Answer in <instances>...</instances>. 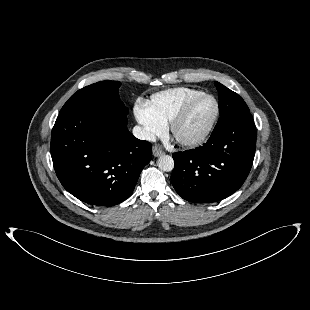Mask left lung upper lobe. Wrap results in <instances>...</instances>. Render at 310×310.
I'll use <instances>...</instances> for the list:
<instances>
[{
  "label": "left lung upper lobe",
  "mask_w": 310,
  "mask_h": 310,
  "mask_svg": "<svg viewBox=\"0 0 310 310\" xmlns=\"http://www.w3.org/2000/svg\"><path fill=\"white\" fill-rule=\"evenodd\" d=\"M215 85L219 92L220 111V119L215 129L250 113L246 103L237 93L218 82H215Z\"/></svg>",
  "instance_id": "5c2ea615"
}]
</instances>
